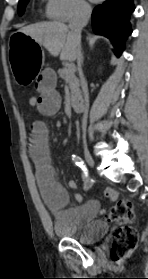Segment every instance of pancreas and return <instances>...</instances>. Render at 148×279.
<instances>
[{"instance_id":"pancreas-1","label":"pancreas","mask_w":148,"mask_h":279,"mask_svg":"<svg viewBox=\"0 0 148 279\" xmlns=\"http://www.w3.org/2000/svg\"><path fill=\"white\" fill-rule=\"evenodd\" d=\"M59 76L65 80V82L69 85L71 90V101L72 103H76L81 97V91L79 89V80L75 76L74 72H69L68 68H63L58 71Z\"/></svg>"}]
</instances>
